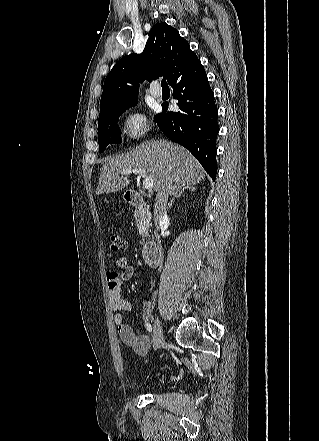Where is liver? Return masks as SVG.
Segmentation results:
<instances>
[{"instance_id": "liver-1", "label": "liver", "mask_w": 319, "mask_h": 441, "mask_svg": "<svg viewBox=\"0 0 319 441\" xmlns=\"http://www.w3.org/2000/svg\"><path fill=\"white\" fill-rule=\"evenodd\" d=\"M129 168L145 169L153 177L154 190L161 199L175 196L182 188L196 185L205 178L204 169L184 147L167 140L147 141L133 151L107 159L96 194L115 193L127 187L129 179L120 174Z\"/></svg>"}]
</instances>
